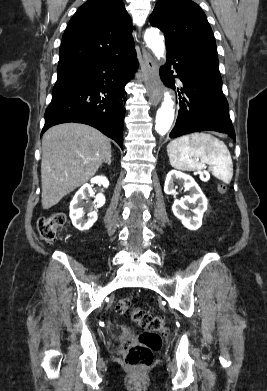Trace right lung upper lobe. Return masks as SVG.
I'll list each match as a JSON object with an SVG mask.
<instances>
[{
	"instance_id": "1",
	"label": "right lung upper lobe",
	"mask_w": 267,
	"mask_h": 391,
	"mask_svg": "<svg viewBox=\"0 0 267 391\" xmlns=\"http://www.w3.org/2000/svg\"><path fill=\"white\" fill-rule=\"evenodd\" d=\"M132 29L122 0H88L63 34L58 77L135 49Z\"/></svg>"
}]
</instances>
